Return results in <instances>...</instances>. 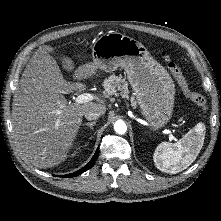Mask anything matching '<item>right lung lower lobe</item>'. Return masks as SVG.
Wrapping results in <instances>:
<instances>
[{
    "label": "right lung lower lobe",
    "instance_id": "98d812e1",
    "mask_svg": "<svg viewBox=\"0 0 221 221\" xmlns=\"http://www.w3.org/2000/svg\"><path fill=\"white\" fill-rule=\"evenodd\" d=\"M98 155H99V148L96 150L94 156L89 161V163L87 165H85L83 168H81L80 170H78L74 173H70L67 175H60V176L69 178V177H75V176L81 175L83 172H85L86 170H88L89 168H91L94 165V162L97 159Z\"/></svg>",
    "mask_w": 221,
    "mask_h": 221
}]
</instances>
